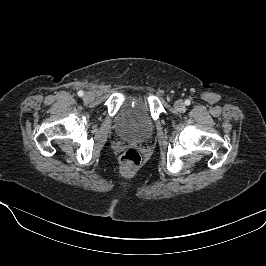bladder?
Returning <instances> with one entry per match:
<instances>
[{"label":"bladder","mask_w":266,"mask_h":266,"mask_svg":"<svg viewBox=\"0 0 266 266\" xmlns=\"http://www.w3.org/2000/svg\"><path fill=\"white\" fill-rule=\"evenodd\" d=\"M116 129L128 140L148 139L153 133L154 121L147 101L137 97L123 103L116 116Z\"/></svg>","instance_id":"31cf9c89"}]
</instances>
